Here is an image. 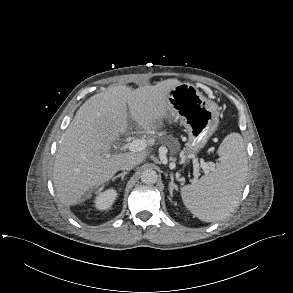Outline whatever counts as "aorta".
Returning a JSON list of instances; mask_svg holds the SVG:
<instances>
[{
	"label": "aorta",
	"mask_w": 293,
	"mask_h": 293,
	"mask_svg": "<svg viewBox=\"0 0 293 293\" xmlns=\"http://www.w3.org/2000/svg\"><path fill=\"white\" fill-rule=\"evenodd\" d=\"M157 179H158V175L156 171L152 169H147L143 171L141 174V181L144 184H154L157 182Z\"/></svg>",
	"instance_id": "obj_1"
}]
</instances>
